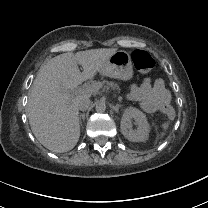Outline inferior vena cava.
Segmentation results:
<instances>
[{
    "label": "inferior vena cava",
    "mask_w": 208,
    "mask_h": 208,
    "mask_svg": "<svg viewBox=\"0 0 208 208\" xmlns=\"http://www.w3.org/2000/svg\"><path fill=\"white\" fill-rule=\"evenodd\" d=\"M77 104L80 111H85L90 106V99L87 96H81L78 98Z\"/></svg>",
    "instance_id": "602c4592"
}]
</instances>
